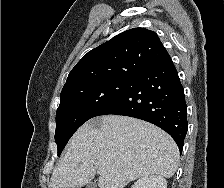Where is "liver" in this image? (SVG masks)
I'll use <instances>...</instances> for the list:
<instances>
[{
  "instance_id": "obj_1",
  "label": "liver",
  "mask_w": 224,
  "mask_h": 188,
  "mask_svg": "<svg viewBox=\"0 0 224 188\" xmlns=\"http://www.w3.org/2000/svg\"><path fill=\"white\" fill-rule=\"evenodd\" d=\"M178 161V147L162 129L132 117L101 116L82 125L72 136L51 176L50 187H83L97 169H103L99 188H124L143 176L170 178Z\"/></svg>"
}]
</instances>
